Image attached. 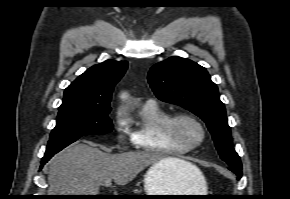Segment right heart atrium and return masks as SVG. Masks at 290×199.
Wrapping results in <instances>:
<instances>
[{"instance_id": "obj_1", "label": "right heart atrium", "mask_w": 290, "mask_h": 199, "mask_svg": "<svg viewBox=\"0 0 290 199\" xmlns=\"http://www.w3.org/2000/svg\"><path fill=\"white\" fill-rule=\"evenodd\" d=\"M114 125L117 132L118 141L124 144L126 142L129 132L127 120L122 112L119 111L115 114Z\"/></svg>"}]
</instances>
